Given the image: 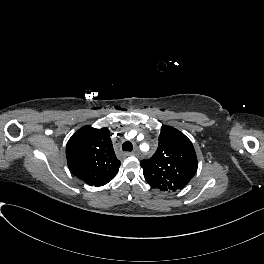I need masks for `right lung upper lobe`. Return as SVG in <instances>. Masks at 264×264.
Instances as JSON below:
<instances>
[{
  "mask_svg": "<svg viewBox=\"0 0 264 264\" xmlns=\"http://www.w3.org/2000/svg\"><path fill=\"white\" fill-rule=\"evenodd\" d=\"M66 157L71 173L96 187L110 182L121 164L107 128L85 126L76 131L67 143Z\"/></svg>",
  "mask_w": 264,
  "mask_h": 264,
  "instance_id": "right-lung-upper-lobe-1",
  "label": "right lung upper lobe"
}]
</instances>
